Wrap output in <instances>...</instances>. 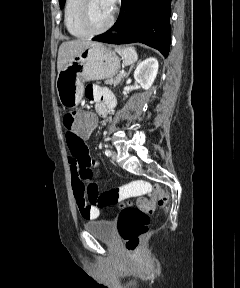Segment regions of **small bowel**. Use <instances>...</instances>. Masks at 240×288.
Here are the masks:
<instances>
[{
	"label": "small bowel",
	"mask_w": 240,
	"mask_h": 288,
	"mask_svg": "<svg viewBox=\"0 0 240 288\" xmlns=\"http://www.w3.org/2000/svg\"><path fill=\"white\" fill-rule=\"evenodd\" d=\"M85 96L96 105V110L101 116H106L115 107V96L107 88L88 85L85 88ZM88 135L89 133L81 137H75L71 134H66V140L71 151L68 162L71 171L72 189L77 206L83 218L94 220L99 217L100 208L91 204L88 200L90 192H97L96 184L89 182V180L92 177V170L100 168L101 163L89 155L85 144V139ZM134 184L130 183L118 188L122 199L133 194L131 188Z\"/></svg>",
	"instance_id": "obj_1"
}]
</instances>
